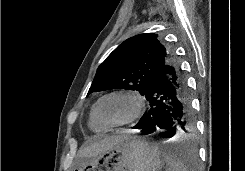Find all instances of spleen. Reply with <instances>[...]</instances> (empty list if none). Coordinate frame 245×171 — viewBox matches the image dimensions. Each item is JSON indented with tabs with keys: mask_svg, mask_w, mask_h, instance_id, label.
<instances>
[{
	"mask_svg": "<svg viewBox=\"0 0 245 171\" xmlns=\"http://www.w3.org/2000/svg\"><path fill=\"white\" fill-rule=\"evenodd\" d=\"M163 158L167 165L166 171H188L183 161L176 155L163 152Z\"/></svg>",
	"mask_w": 245,
	"mask_h": 171,
	"instance_id": "1",
	"label": "spleen"
}]
</instances>
